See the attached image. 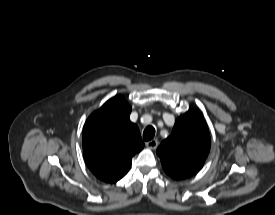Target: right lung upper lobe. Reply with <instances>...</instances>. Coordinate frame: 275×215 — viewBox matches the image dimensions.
Returning <instances> with one entry per match:
<instances>
[{"label":"right lung upper lobe","mask_w":275,"mask_h":215,"mask_svg":"<svg viewBox=\"0 0 275 215\" xmlns=\"http://www.w3.org/2000/svg\"><path fill=\"white\" fill-rule=\"evenodd\" d=\"M130 113V105L118 95L92 113L84 125V159L102 181L120 180L129 171L132 157L144 147L137 125L129 120Z\"/></svg>","instance_id":"1"}]
</instances>
